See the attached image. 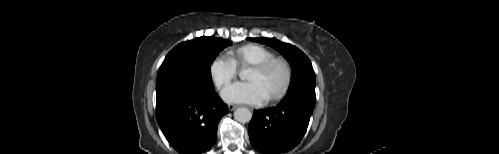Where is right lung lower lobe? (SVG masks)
<instances>
[{
  "label": "right lung lower lobe",
  "instance_id": "right-lung-lower-lobe-1",
  "mask_svg": "<svg viewBox=\"0 0 499 154\" xmlns=\"http://www.w3.org/2000/svg\"><path fill=\"white\" fill-rule=\"evenodd\" d=\"M228 107L215 90L171 89L157 93L156 118L170 143L181 154H200L216 141L217 125Z\"/></svg>",
  "mask_w": 499,
  "mask_h": 154
}]
</instances>
